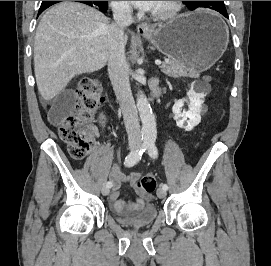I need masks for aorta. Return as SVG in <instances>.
I'll return each instance as SVG.
<instances>
[{
    "label": "aorta",
    "instance_id": "762f6f07",
    "mask_svg": "<svg viewBox=\"0 0 271 266\" xmlns=\"http://www.w3.org/2000/svg\"><path fill=\"white\" fill-rule=\"evenodd\" d=\"M137 108L142 122V138L154 140L157 135L156 120L147 97L142 92L139 93L137 98Z\"/></svg>",
    "mask_w": 271,
    "mask_h": 266
}]
</instances>
